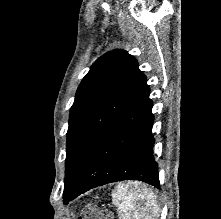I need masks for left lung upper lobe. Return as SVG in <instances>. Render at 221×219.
Masks as SVG:
<instances>
[{"label": "left lung upper lobe", "mask_w": 221, "mask_h": 219, "mask_svg": "<svg viewBox=\"0 0 221 219\" xmlns=\"http://www.w3.org/2000/svg\"><path fill=\"white\" fill-rule=\"evenodd\" d=\"M138 66L126 51L113 50L96 60L80 83L67 132L64 201L103 135L146 88Z\"/></svg>", "instance_id": "left-lung-upper-lobe-1"}]
</instances>
